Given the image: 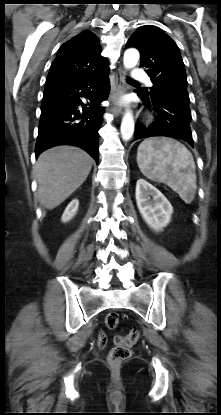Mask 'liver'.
Returning a JSON list of instances; mask_svg holds the SVG:
<instances>
[{
    "instance_id": "obj_1",
    "label": "liver",
    "mask_w": 221,
    "mask_h": 415,
    "mask_svg": "<svg viewBox=\"0 0 221 415\" xmlns=\"http://www.w3.org/2000/svg\"><path fill=\"white\" fill-rule=\"evenodd\" d=\"M93 160L74 146H56L44 151L34 167L41 205L54 209L64 202L86 180Z\"/></svg>"
}]
</instances>
